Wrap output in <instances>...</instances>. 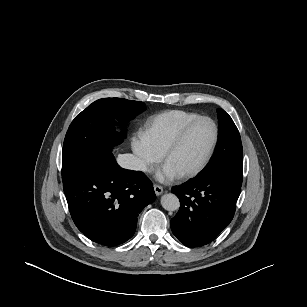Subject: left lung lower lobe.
<instances>
[{
	"label": "left lung lower lobe",
	"instance_id": "1",
	"mask_svg": "<svg viewBox=\"0 0 307 307\" xmlns=\"http://www.w3.org/2000/svg\"><path fill=\"white\" fill-rule=\"evenodd\" d=\"M241 184L222 174L201 175L172 188L181 207L170 225L173 234L187 247L213 241L235 213Z\"/></svg>",
	"mask_w": 307,
	"mask_h": 307
}]
</instances>
